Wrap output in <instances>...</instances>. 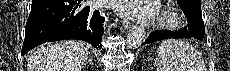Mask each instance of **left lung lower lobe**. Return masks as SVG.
<instances>
[{
  "label": "left lung lower lobe",
  "mask_w": 230,
  "mask_h": 71,
  "mask_svg": "<svg viewBox=\"0 0 230 71\" xmlns=\"http://www.w3.org/2000/svg\"><path fill=\"white\" fill-rule=\"evenodd\" d=\"M187 19L188 25L180 31H154L146 39L145 43H153L168 38H196L202 40L205 33L202 12L199 6L193 4L182 5Z\"/></svg>",
  "instance_id": "left-lung-lower-lobe-1"
}]
</instances>
